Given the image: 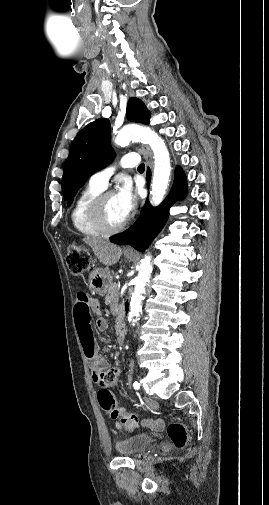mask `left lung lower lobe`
<instances>
[{"label":"left lung lower lobe","instance_id":"obj_1","mask_svg":"<svg viewBox=\"0 0 269 505\" xmlns=\"http://www.w3.org/2000/svg\"><path fill=\"white\" fill-rule=\"evenodd\" d=\"M151 173L148 169L147 180L150 182ZM187 193V184L184 173L180 168L176 169L175 180L172 190L163 203L153 208L147 201L141 210L137 222L125 232L111 239V242L119 245L130 244L133 248L144 251L164 227L169 209L178 199Z\"/></svg>","mask_w":269,"mask_h":505}]
</instances>
